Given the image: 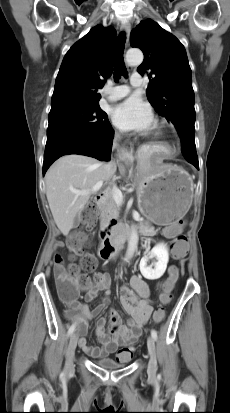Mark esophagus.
Masks as SVG:
<instances>
[{"label":"esophagus","mask_w":230,"mask_h":413,"mask_svg":"<svg viewBox=\"0 0 230 413\" xmlns=\"http://www.w3.org/2000/svg\"><path fill=\"white\" fill-rule=\"evenodd\" d=\"M121 29L126 33V36H127V38H128L129 33H130V31H131V24H130V22H124V23H122Z\"/></svg>","instance_id":"obj_1"}]
</instances>
